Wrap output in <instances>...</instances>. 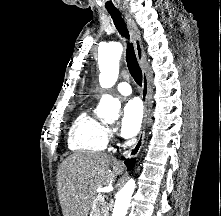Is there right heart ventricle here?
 <instances>
[{
  "instance_id": "1",
  "label": "right heart ventricle",
  "mask_w": 221,
  "mask_h": 216,
  "mask_svg": "<svg viewBox=\"0 0 221 216\" xmlns=\"http://www.w3.org/2000/svg\"><path fill=\"white\" fill-rule=\"evenodd\" d=\"M107 127L88 112L80 113L68 133V147L79 152H99L107 145Z\"/></svg>"
}]
</instances>
